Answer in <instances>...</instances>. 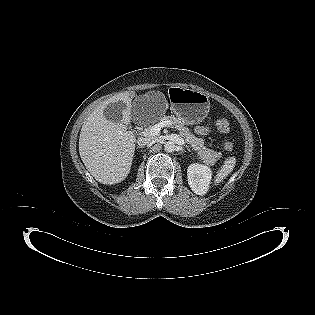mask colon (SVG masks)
Wrapping results in <instances>:
<instances>
[{
	"label": "colon",
	"mask_w": 315,
	"mask_h": 315,
	"mask_svg": "<svg viewBox=\"0 0 315 315\" xmlns=\"http://www.w3.org/2000/svg\"><path fill=\"white\" fill-rule=\"evenodd\" d=\"M217 129L221 133H227L230 130L229 122L226 119H220L217 121ZM224 148L228 151H232L234 149V145L232 142H226L224 144Z\"/></svg>",
	"instance_id": "colon-1"
}]
</instances>
